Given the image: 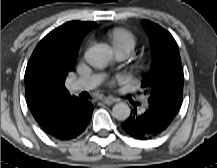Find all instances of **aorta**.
<instances>
[{
  "mask_svg": "<svg viewBox=\"0 0 217 168\" xmlns=\"http://www.w3.org/2000/svg\"><path fill=\"white\" fill-rule=\"evenodd\" d=\"M85 60L88 64L95 68H104L110 59L107 47L102 44H97L85 52ZM130 115V108L125 103H118L112 108V116L117 120H126Z\"/></svg>",
  "mask_w": 217,
  "mask_h": 168,
  "instance_id": "aorta-1",
  "label": "aorta"
}]
</instances>
